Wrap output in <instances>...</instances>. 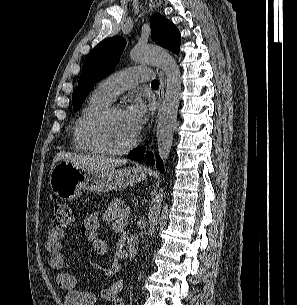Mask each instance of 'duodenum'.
<instances>
[{"label": "duodenum", "mask_w": 297, "mask_h": 305, "mask_svg": "<svg viewBox=\"0 0 297 305\" xmlns=\"http://www.w3.org/2000/svg\"><path fill=\"white\" fill-rule=\"evenodd\" d=\"M126 249L129 254V258L132 259L135 256L136 251H137L136 241L133 239L128 240L126 243Z\"/></svg>", "instance_id": "1"}]
</instances>
